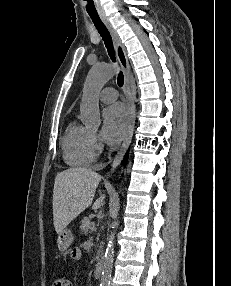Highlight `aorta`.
Returning <instances> with one entry per match:
<instances>
[{"label": "aorta", "mask_w": 231, "mask_h": 286, "mask_svg": "<svg viewBox=\"0 0 231 286\" xmlns=\"http://www.w3.org/2000/svg\"><path fill=\"white\" fill-rule=\"evenodd\" d=\"M114 74L115 68L111 65H95L89 71L85 80L80 105L81 121L86 126L91 128L99 127L101 119L98 93L107 83V81L114 76ZM118 225V221H114L112 224L113 231H111L108 238V243L102 262L100 286H109L110 284L114 255L115 230Z\"/></svg>", "instance_id": "762f6f07"}]
</instances>
